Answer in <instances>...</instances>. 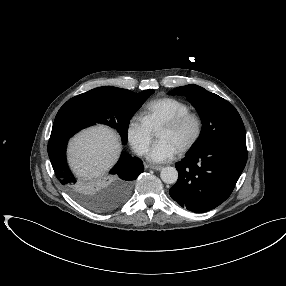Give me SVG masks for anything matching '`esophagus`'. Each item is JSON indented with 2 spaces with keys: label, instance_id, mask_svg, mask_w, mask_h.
Listing matches in <instances>:
<instances>
[{
  "label": "esophagus",
  "instance_id": "1",
  "mask_svg": "<svg viewBox=\"0 0 286 286\" xmlns=\"http://www.w3.org/2000/svg\"><path fill=\"white\" fill-rule=\"evenodd\" d=\"M150 169L156 170V171H160L163 169V166H159V165H151L149 166Z\"/></svg>",
  "mask_w": 286,
  "mask_h": 286
}]
</instances>
